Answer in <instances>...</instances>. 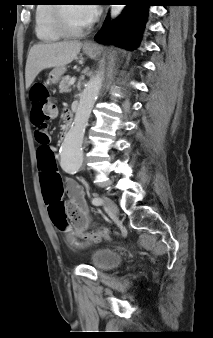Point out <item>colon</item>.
<instances>
[{
	"instance_id": "5ec220e1",
	"label": "colon",
	"mask_w": 213,
	"mask_h": 338,
	"mask_svg": "<svg viewBox=\"0 0 213 338\" xmlns=\"http://www.w3.org/2000/svg\"><path fill=\"white\" fill-rule=\"evenodd\" d=\"M31 102V123L36 127L35 139L41 145L39 156L47 157L50 149L47 148L52 140V132L46 126V121L52 119L57 111V106L50 99L48 87L44 83H37L32 86L29 92ZM51 217L56 225H61L65 221V206L61 202H56L50 209ZM103 236L110 239L107 231L102 232Z\"/></svg>"
}]
</instances>
